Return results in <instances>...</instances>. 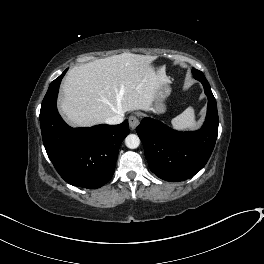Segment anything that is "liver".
<instances>
[{"instance_id": "6515ba94", "label": "liver", "mask_w": 264, "mask_h": 264, "mask_svg": "<svg viewBox=\"0 0 264 264\" xmlns=\"http://www.w3.org/2000/svg\"><path fill=\"white\" fill-rule=\"evenodd\" d=\"M155 56L122 53L70 69L63 80L59 109L66 121L91 127L131 110L152 111L154 94L169 79L155 71Z\"/></svg>"}]
</instances>
